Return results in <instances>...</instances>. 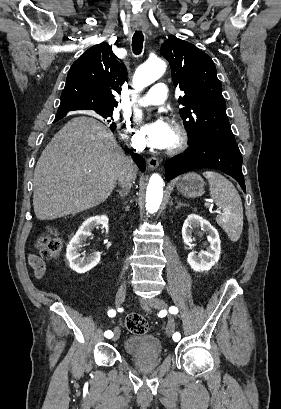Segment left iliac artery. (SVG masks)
<instances>
[{"instance_id": "obj_1", "label": "left iliac artery", "mask_w": 281, "mask_h": 409, "mask_svg": "<svg viewBox=\"0 0 281 409\" xmlns=\"http://www.w3.org/2000/svg\"><path fill=\"white\" fill-rule=\"evenodd\" d=\"M169 312L172 313V314H177V313H178V309H177L176 307H174V306H171V307L169 308ZM180 338H181L180 333L176 332V333L173 334V340H174V341H178Z\"/></svg>"}]
</instances>
